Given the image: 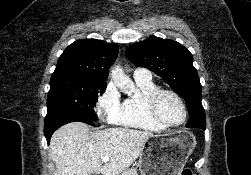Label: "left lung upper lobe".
Segmentation results:
<instances>
[{"instance_id":"5c2ea615","label":"left lung upper lobe","mask_w":251,"mask_h":175,"mask_svg":"<svg viewBox=\"0 0 251 175\" xmlns=\"http://www.w3.org/2000/svg\"><path fill=\"white\" fill-rule=\"evenodd\" d=\"M126 56L136 66L145 67L160 77L180 94L187 107L203 108L202 86L197 70L193 66L192 55L177 41L150 36L144 41L131 44ZM186 127L205 130V119L198 124H186Z\"/></svg>"}]
</instances>
